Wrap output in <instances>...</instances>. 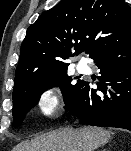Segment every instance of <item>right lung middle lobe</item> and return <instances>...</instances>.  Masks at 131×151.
<instances>
[{
    "instance_id": "right-lung-middle-lobe-1",
    "label": "right lung middle lobe",
    "mask_w": 131,
    "mask_h": 151,
    "mask_svg": "<svg viewBox=\"0 0 131 151\" xmlns=\"http://www.w3.org/2000/svg\"><path fill=\"white\" fill-rule=\"evenodd\" d=\"M67 66L42 74L24 86L13 90V123L20 126L27 112L39 101L41 94L54 86H61L64 101L67 104L76 87L81 82L72 83L66 75Z\"/></svg>"
}]
</instances>
